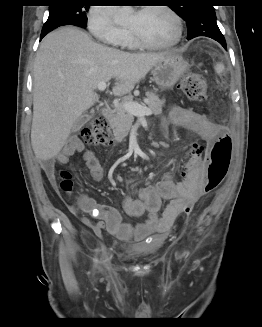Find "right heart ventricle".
<instances>
[{
	"instance_id": "obj_1",
	"label": "right heart ventricle",
	"mask_w": 262,
	"mask_h": 327,
	"mask_svg": "<svg viewBox=\"0 0 262 327\" xmlns=\"http://www.w3.org/2000/svg\"><path fill=\"white\" fill-rule=\"evenodd\" d=\"M124 46L128 47L130 49H134V48H136L138 46L129 32H128L127 36H126Z\"/></svg>"
}]
</instances>
